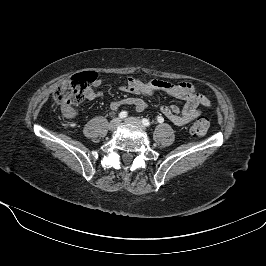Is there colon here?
<instances>
[{
  "label": "colon",
  "instance_id": "1",
  "mask_svg": "<svg viewBox=\"0 0 266 266\" xmlns=\"http://www.w3.org/2000/svg\"><path fill=\"white\" fill-rule=\"evenodd\" d=\"M94 72H86L76 74L62 83L54 92V101L62 107V109L73 108L74 105L80 103L84 98L87 88L96 81ZM209 128V121L204 118H198L190 128V134L194 138L203 137Z\"/></svg>",
  "mask_w": 266,
  "mask_h": 266
}]
</instances>
